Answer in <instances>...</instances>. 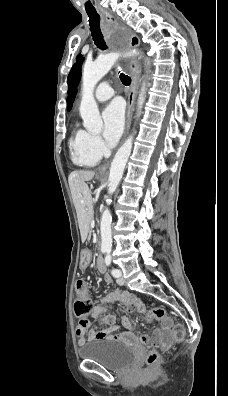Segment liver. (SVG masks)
Segmentation results:
<instances>
[{
  "instance_id": "liver-1",
  "label": "liver",
  "mask_w": 228,
  "mask_h": 396,
  "mask_svg": "<svg viewBox=\"0 0 228 396\" xmlns=\"http://www.w3.org/2000/svg\"><path fill=\"white\" fill-rule=\"evenodd\" d=\"M94 175V171L79 170L72 172L68 177L73 203L81 226L82 240H85L84 225L91 218L93 209L91 192L86 182L90 181Z\"/></svg>"
}]
</instances>
